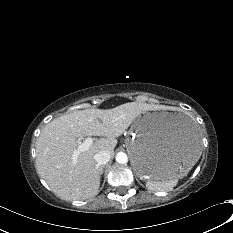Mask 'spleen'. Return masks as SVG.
<instances>
[{
  "label": "spleen",
  "mask_w": 233,
  "mask_h": 233,
  "mask_svg": "<svg viewBox=\"0 0 233 233\" xmlns=\"http://www.w3.org/2000/svg\"><path fill=\"white\" fill-rule=\"evenodd\" d=\"M179 177H174L166 180H148L146 182V186L148 189L153 191H163L173 188L177 182Z\"/></svg>",
  "instance_id": "obj_1"
}]
</instances>
